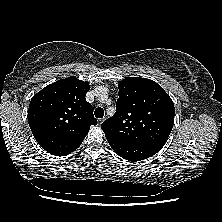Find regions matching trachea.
<instances>
[{
    "label": "trachea",
    "mask_w": 222,
    "mask_h": 222,
    "mask_svg": "<svg viewBox=\"0 0 222 222\" xmlns=\"http://www.w3.org/2000/svg\"><path fill=\"white\" fill-rule=\"evenodd\" d=\"M104 116V110L102 108H97L95 110V117L102 118Z\"/></svg>",
    "instance_id": "trachea-1"
}]
</instances>
